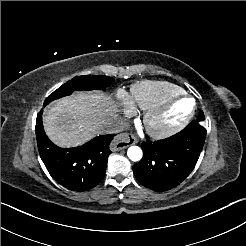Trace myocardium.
<instances>
[{"instance_id": "f54148a6", "label": "myocardium", "mask_w": 246, "mask_h": 246, "mask_svg": "<svg viewBox=\"0 0 246 246\" xmlns=\"http://www.w3.org/2000/svg\"><path fill=\"white\" fill-rule=\"evenodd\" d=\"M181 100L193 101L192 98L188 96H182L179 99L171 100L161 106L151 109L146 113L145 115L146 128L149 134L153 138L161 139L173 135L179 132L180 130H182L183 128H185L190 123L195 113L194 107H192V109L187 115L181 117L179 120L168 126L160 127V128L155 126V120L160 116L169 112Z\"/></svg>"}]
</instances>
